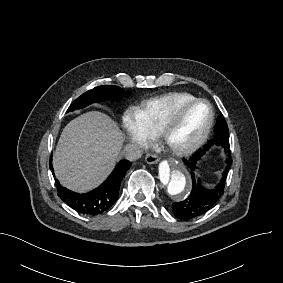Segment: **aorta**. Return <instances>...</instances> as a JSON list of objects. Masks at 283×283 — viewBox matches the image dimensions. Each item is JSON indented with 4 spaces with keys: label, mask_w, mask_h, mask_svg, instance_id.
<instances>
[{
    "label": "aorta",
    "mask_w": 283,
    "mask_h": 283,
    "mask_svg": "<svg viewBox=\"0 0 283 283\" xmlns=\"http://www.w3.org/2000/svg\"><path fill=\"white\" fill-rule=\"evenodd\" d=\"M191 185L190 173L182 162L170 158L159 164L158 186L163 196L183 201L187 199Z\"/></svg>",
    "instance_id": "1"
}]
</instances>
